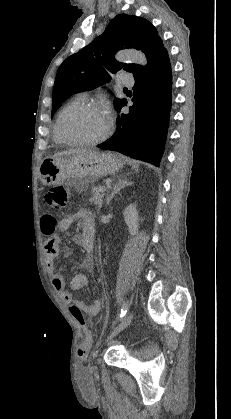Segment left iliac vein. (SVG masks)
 <instances>
[{
	"instance_id": "obj_1",
	"label": "left iliac vein",
	"mask_w": 231,
	"mask_h": 419,
	"mask_svg": "<svg viewBox=\"0 0 231 419\" xmlns=\"http://www.w3.org/2000/svg\"><path fill=\"white\" fill-rule=\"evenodd\" d=\"M134 318L133 313L127 314L121 322L113 329V331L110 333V335L107 337V342H110L116 335H118L121 331H123L130 323L132 322Z\"/></svg>"
}]
</instances>
